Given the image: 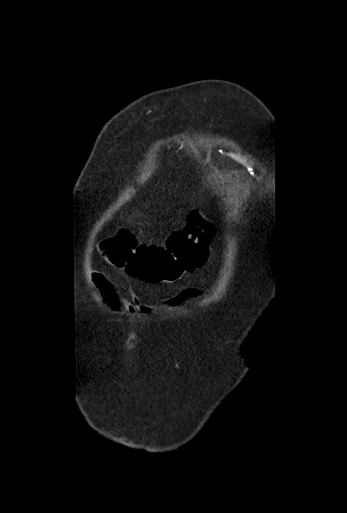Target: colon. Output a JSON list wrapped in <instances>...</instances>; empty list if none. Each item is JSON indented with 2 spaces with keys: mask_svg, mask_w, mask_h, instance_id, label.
<instances>
[{
  "mask_svg": "<svg viewBox=\"0 0 347 513\" xmlns=\"http://www.w3.org/2000/svg\"><path fill=\"white\" fill-rule=\"evenodd\" d=\"M214 230L199 212H192L186 226L174 232L166 246L138 243L127 231L102 244L109 262L129 276L149 285L174 283L205 264Z\"/></svg>",
  "mask_w": 347,
  "mask_h": 513,
  "instance_id": "1",
  "label": "colon"
}]
</instances>
